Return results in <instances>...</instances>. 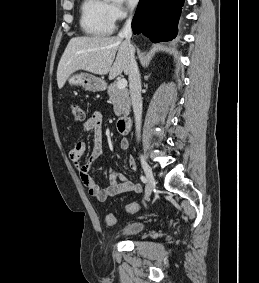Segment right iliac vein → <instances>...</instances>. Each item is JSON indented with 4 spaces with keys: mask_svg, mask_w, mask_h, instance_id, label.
Masks as SVG:
<instances>
[{
    "mask_svg": "<svg viewBox=\"0 0 259 283\" xmlns=\"http://www.w3.org/2000/svg\"><path fill=\"white\" fill-rule=\"evenodd\" d=\"M140 160H141V164H142V167L144 169V172H145V175H146V178H147V188H146L145 200H148L151 193H152V190L156 186V181H155V178L153 176L151 167L146 162V160L142 156H140Z\"/></svg>",
    "mask_w": 259,
    "mask_h": 283,
    "instance_id": "obj_1",
    "label": "right iliac vein"
}]
</instances>
